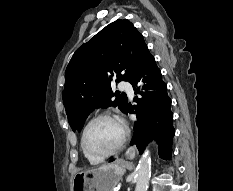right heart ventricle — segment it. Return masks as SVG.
I'll return each mask as SVG.
<instances>
[{"instance_id": "1", "label": "right heart ventricle", "mask_w": 233, "mask_h": 191, "mask_svg": "<svg viewBox=\"0 0 233 191\" xmlns=\"http://www.w3.org/2000/svg\"><path fill=\"white\" fill-rule=\"evenodd\" d=\"M83 153H84V151H83ZM84 155L90 162H99L100 161L98 159H94V158H91V157L87 156L85 153H84Z\"/></svg>"}]
</instances>
